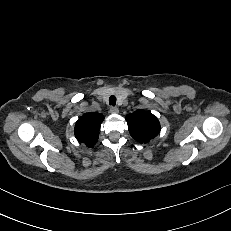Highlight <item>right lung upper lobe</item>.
Here are the masks:
<instances>
[{"label":"right lung upper lobe","mask_w":231,"mask_h":231,"mask_svg":"<svg viewBox=\"0 0 231 231\" xmlns=\"http://www.w3.org/2000/svg\"><path fill=\"white\" fill-rule=\"evenodd\" d=\"M104 117L100 113H87L80 117L75 125V137L87 146L95 144Z\"/></svg>","instance_id":"cb5924a9"}]
</instances>
